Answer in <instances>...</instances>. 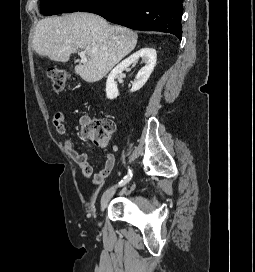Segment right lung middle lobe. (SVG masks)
<instances>
[{
	"instance_id": "right-lung-middle-lobe-1",
	"label": "right lung middle lobe",
	"mask_w": 255,
	"mask_h": 272,
	"mask_svg": "<svg viewBox=\"0 0 255 272\" xmlns=\"http://www.w3.org/2000/svg\"><path fill=\"white\" fill-rule=\"evenodd\" d=\"M94 0H41V13L46 16L76 12Z\"/></svg>"
}]
</instances>
